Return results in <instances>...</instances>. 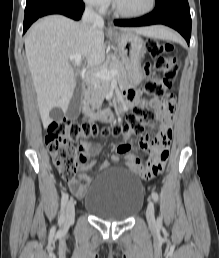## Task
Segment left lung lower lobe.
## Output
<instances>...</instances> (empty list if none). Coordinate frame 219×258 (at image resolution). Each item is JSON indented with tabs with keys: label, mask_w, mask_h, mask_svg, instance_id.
Wrapping results in <instances>:
<instances>
[{
	"label": "left lung lower lobe",
	"mask_w": 219,
	"mask_h": 258,
	"mask_svg": "<svg viewBox=\"0 0 219 258\" xmlns=\"http://www.w3.org/2000/svg\"><path fill=\"white\" fill-rule=\"evenodd\" d=\"M114 24L124 27L163 24L174 28L188 44L190 42L192 22L188 0H163L148 15L137 19L115 20Z\"/></svg>",
	"instance_id": "1"
}]
</instances>
